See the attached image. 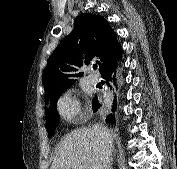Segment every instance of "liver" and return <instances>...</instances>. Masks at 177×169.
<instances>
[{"mask_svg":"<svg viewBox=\"0 0 177 169\" xmlns=\"http://www.w3.org/2000/svg\"><path fill=\"white\" fill-rule=\"evenodd\" d=\"M100 144L93 128L67 134L61 140L50 169H101Z\"/></svg>","mask_w":177,"mask_h":169,"instance_id":"liver-1","label":"liver"}]
</instances>
